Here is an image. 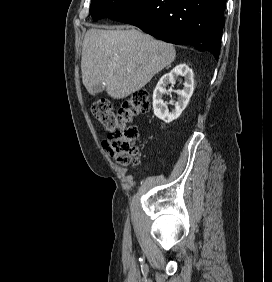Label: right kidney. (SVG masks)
Masks as SVG:
<instances>
[{
	"label": "right kidney",
	"mask_w": 272,
	"mask_h": 282,
	"mask_svg": "<svg viewBox=\"0 0 272 282\" xmlns=\"http://www.w3.org/2000/svg\"><path fill=\"white\" fill-rule=\"evenodd\" d=\"M184 77V87L182 90H177L178 101L174 104L175 108L169 112L167 105L164 103L162 97L165 93L171 92L172 88L167 90L169 84H175L177 77ZM194 91V74L186 64H179L175 66L172 71L164 74L158 81L153 93V110L156 117L165 123H170L176 120L186 108L190 97Z\"/></svg>",
	"instance_id": "right-kidney-1"
}]
</instances>
